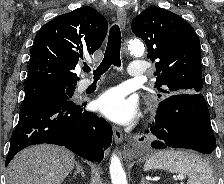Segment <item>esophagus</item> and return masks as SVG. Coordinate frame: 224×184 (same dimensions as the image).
Segmentation results:
<instances>
[{"label": "esophagus", "instance_id": "34e87169", "mask_svg": "<svg viewBox=\"0 0 224 184\" xmlns=\"http://www.w3.org/2000/svg\"><path fill=\"white\" fill-rule=\"evenodd\" d=\"M117 21L121 29L124 30L127 21V14L124 8L117 9ZM113 135L116 143L123 141V133L120 128L113 126Z\"/></svg>", "mask_w": 224, "mask_h": 184}]
</instances>
